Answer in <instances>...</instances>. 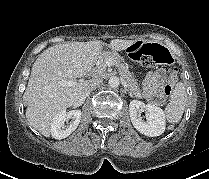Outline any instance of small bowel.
<instances>
[{
    "instance_id": "obj_1",
    "label": "small bowel",
    "mask_w": 209,
    "mask_h": 179,
    "mask_svg": "<svg viewBox=\"0 0 209 179\" xmlns=\"http://www.w3.org/2000/svg\"><path fill=\"white\" fill-rule=\"evenodd\" d=\"M166 80V70L157 69L147 73L144 81L145 97L155 103L162 104L164 101L163 84Z\"/></svg>"
}]
</instances>
